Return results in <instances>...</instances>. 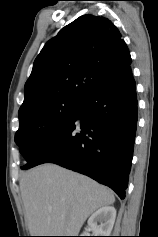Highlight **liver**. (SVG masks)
Segmentation results:
<instances>
[{"mask_svg":"<svg viewBox=\"0 0 158 237\" xmlns=\"http://www.w3.org/2000/svg\"><path fill=\"white\" fill-rule=\"evenodd\" d=\"M20 191L31 236H77L93 212L115 201L109 188L55 164L24 172Z\"/></svg>","mask_w":158,"mask_h":237,"instance_id":"liver-1","label":"liver"}]
</instances>
